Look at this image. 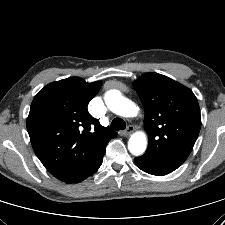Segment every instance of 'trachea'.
<instances>
[{
	"label": "trachea",
	"instance_id": "trachea-1",
	"mask_svg": "<svg viewBox=\"0 0 225 225\" xmlns=\"http://www.w3.org/2000/svg\"><path fill=\"white\" fill-rule=\"evenodd\" d=\"M126 128V123L121 118H115L110 125V130L118 131L124 130Z\"/></svg>",
	"mask_w": 225,
	"mask_h": 225
}]
</instances>
